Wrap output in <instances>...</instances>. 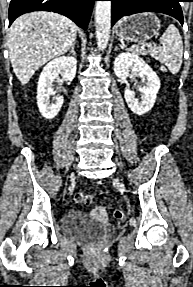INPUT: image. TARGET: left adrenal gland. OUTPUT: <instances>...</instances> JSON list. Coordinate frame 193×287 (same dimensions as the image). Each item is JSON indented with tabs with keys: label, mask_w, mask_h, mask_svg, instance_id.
<instances>
[{
	"label": "left adrenal gland",
	"mask_w": 193,
	"mask_h": 287,
	"mask_svg": "<svg viewBox=\"0 0 193 287\" xmlns=\"http://www.w3.org/2000/svg\"><path fill=\"white\" fill-rule=\"evenodd\" d=\"M119 48L117 47V46H115V48H114V50L116 51V50H118Z\"/></svg>",
	"instance_id": "left-adrenal-gland-1"
}]
</instances>
